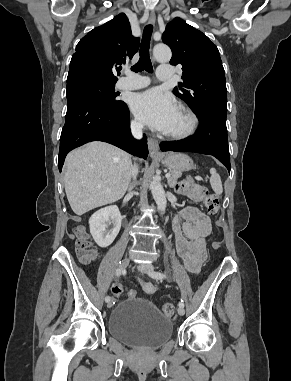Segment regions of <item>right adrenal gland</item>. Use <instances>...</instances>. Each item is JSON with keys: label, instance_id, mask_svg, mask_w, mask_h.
<instances>
[{"label": "right adrenal gland", "instance_id": "2a0ac1e0", "mask_svg": "<svg viewBox=\"0 0 291 381\" xmlns=\"http://www.w3.org/2000/svg\"><path fill=\"white\" fill-rule=\"evenodd\" d=\"M135 186V183H130L129 187H128V191H131Z\"/></svg>", "mask_w": 291, "mask_h": 381}]
</instances>
